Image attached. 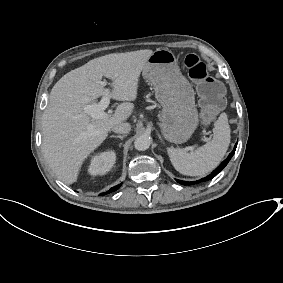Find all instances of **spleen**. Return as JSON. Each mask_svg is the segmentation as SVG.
Returning a JSON list of instances; mask_svg holds the SVG:
<instances>
[{
  "instance_id": "3e777b00",
  "label": "spleen",
  "mask_w": 283,
  "mask_h": 283,
  "mask_svg": "<svg viewBox=\"0 0 283 283\" xmlns=\"http://www.w3.org/2000/svg\"><path fill=\"white\" fill-rule=\"evenodd\" d=\"M230 126L226 113H221L214 124L213 139L192 153L184 149L167 148L174 168L183 175L204 176L215 169L225 156L230 144Z\"/></svg>"
}]
</instances>
